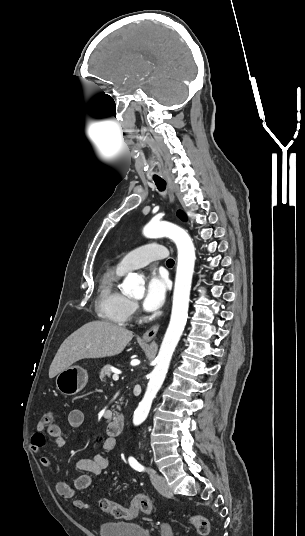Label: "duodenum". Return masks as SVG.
<instances>
[{
    "label": "duodenum",
    "mask_w": 305,
    "mask_h": 536,
    "mask_svg": "<svg viewBox=\"0 0 305 536\" xmlns=\"http://www.w3.org/2000/svg\"><path fill=\"white\" fill-rule=\"evenodd\" d=\"M125 424H126L125 418L122 415H117L106 426V431L109 436L120 435L124 431Z\"/></svg>",
    "instance_id": "1"
}]
</instances>
